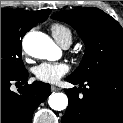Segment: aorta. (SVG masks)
I'll return each instance as SVG.
<instances>
[{
  "label": "aorta",
  "mask_w": 123,
  "mask_h": 123,
  "mask_svg": "<svg viewBox=\"0 0 123 123\" xmlns=\"http://www.w3.org/2000/svg\"><path fill=\"white\" fill-rule=\"evenodd\" d=\"M23 49L27 54L39 59H54L57 47L54 42L41 32H30L23 39ZM49 106L56 111L66 109L68 98L64 93H52L48 100Z\"/></svg>",
  "instance_id": "obj_1"
}]
</instances>
